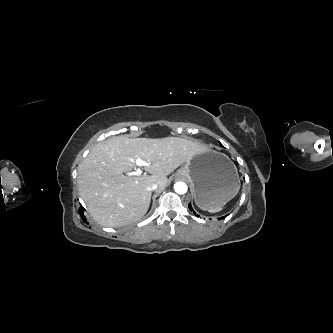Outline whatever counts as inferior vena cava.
<instances>
[{"label": "inferior vena cava", "instance_id": "1", "mask_svg": "<svg viewBox=\"0 0 333 333\" xmlns=\"http://www.w3.org/2000/svg\"><path fill=\"white\" fill-rule=\"evenodd\" d=\"M158 188V185L156 183H153L152 185L148 186V190L154 191Z\"/></svg>", "mask_w": 333, "mask_h": 333}]
</instances>
